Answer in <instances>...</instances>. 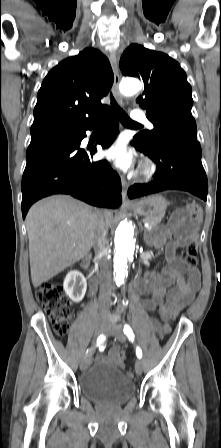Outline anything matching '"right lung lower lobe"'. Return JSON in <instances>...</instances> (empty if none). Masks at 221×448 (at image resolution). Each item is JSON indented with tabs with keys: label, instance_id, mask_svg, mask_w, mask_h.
Listing matches in <instances>:
<instances>
[{
	"label": "right lung lower lobe",
	"instance_id": "1",
	"mask_svg": "<svg viewBox=\"0 0 221 448\" xmlns=\"http://www.w3.org/2000/svg\"><path fill=\"white\" fill-rule=\"evenodd\" d=\"M102 124L97 143L108 148L118 131V120L108 108L91 125L29 145L22 178V215L30 206L52 194H70L91 205L117 208L122 203L121 181L107 161L91 162L96 148L81 149L86 130Z\"/></svg>",
	"mask_w": 221,
	"mask_h": 448
}]
</instances>
